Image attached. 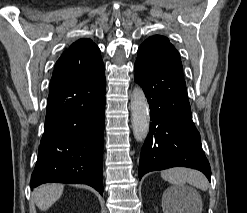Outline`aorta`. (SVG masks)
Returning a JSON list of instances; mask_svg holds the SVG:
<instances>
[{
	"label": "aorta",
	"instance_id": "aorta-1",
	"mask_svg": "<svg viewBox=\"0 0 247 213\" xmlns=\"http://www.w3.org/2000/svg\"><path fill=\"white\" fill-rule=\"evenodd\" d=\"M131 122L135 139L144 141L149 133L150 114L147 99L139 86L131 94Z\"/></svg>",
	"mask_w": 247,
	"mask_h": 213
}]
</instances>
